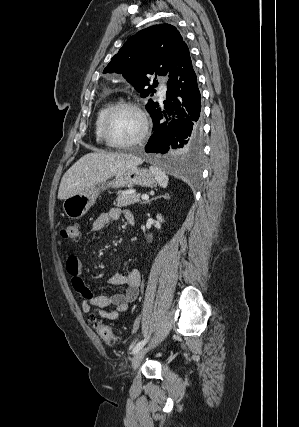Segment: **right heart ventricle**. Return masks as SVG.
Masks as SVG:
<instances>
[{"mask_svg": "<svg viewBox=\"0 0 299 427\" xmlns=\"http://www.w3.org/2000/svg\"><path fill=\"white\" fill-rule=\"evenodd\" d=\"M114 105L113 101L105 102L97 111L95 122H94V136L96 143L101 147H106L107 144L104 142L102 133H101V126L103 119L106 115V113L109 111V109Z\"/></svg>", "mask_w": 299, "mask_h": 427, "instance_id": "right-heart-ventricle-1", "label": "right heart ventricle"}]
</instances>
